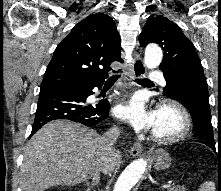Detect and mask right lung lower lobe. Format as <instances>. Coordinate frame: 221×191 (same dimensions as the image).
Here are the masks:
<instances>
[{
	"label": "right lung lower lobe",
	"instance_id": "obj_1",
	"mask_svg": "<svg viewBox=\"0 0 221 191\" xmlns=\"http://www.w3.org/2000/svg\"><path fill=\"white\" fill-rule=\"evenodd\" d=\"M94 86H53L40 88L38 106L31 135H34L47 122L56 119H68L88 127L100 123L108 116L107 100L98 104H86L88 96L94 92Z\"/></svg>",
	"mask_w": 221,
	"mask_h": 191
}]
</instances>
